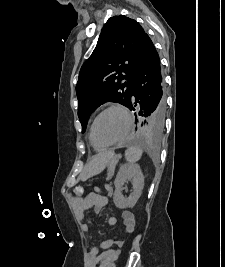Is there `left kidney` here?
<instances>
[{
	"mask_svg": "<svg viewBox=\"0 0 225 267\" xmlns=\"http://www.w3.org/2000/svg\"><path fill=\"white\" fill-rule=\"evenodd\" d=\"M127 180H132L133 192L129 197L126 198L122 195V187ZM114 184L115 192L113 201L115 205L120 209L132 208L141 196L144 186V176L140 166L136 164L122 165L116 176Z\"/></svg>",
	"mask_w": 225,
	"mask_h": 267,
	"instance_id": "5707ae66",
	"label": "left kidney"
}]
</instances>
